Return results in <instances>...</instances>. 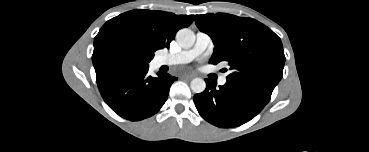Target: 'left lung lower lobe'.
<instances>
[{
  "instance_id": "left-lung-lower-lobe-1",
  "label": "left lung lower lobe",
  "mask_w": 369,
  "mask_h": 152,
  "mask_svg": "<svg viewBox=\"0 0 369 152\" xmlns=\"http://www.w3.org/2000/svg\"><path fill=\"white\" fill-rule=\"evenodd\" d=\"M204 92L194 96L199 114L209 123L222 128L240 126L254 118L269 102L272 87L227 80L216 83L205 80Z\"/></svg>"
}]
</instances>
